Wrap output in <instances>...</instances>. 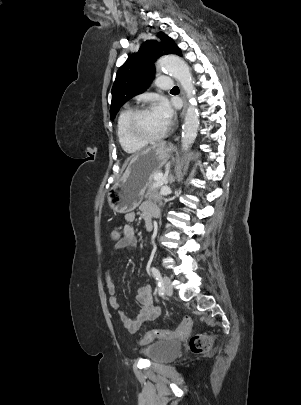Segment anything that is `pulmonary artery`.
<instances>
[{
    "label": "pulmonary artery",
    "instance_id": "e3ab8cb5",
    "mask_svg": "<svg viewBox=\"0 0 301 405\" xmlns=\"http://www.w3.org/2000/svg\"><path fill=\"white\" fill-rule=\"evenodd\" d=\"M156 84L162 89H171L173 87L172 79L169 76L165 75L159 76L156 79Z\"/></svg>",
    "mask_w": 301,
    "mask_h": 405
}]
</instances>
